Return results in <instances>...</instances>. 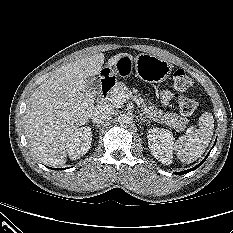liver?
I'll list each match as a JSON object with an SVG mask.
<instances>
[{
	"instance_id": "6515ba94",
	"label": "liver",
	"mask_w": 233,
	"mask_h": 233,
	"mask_svg": "<svg viewBox=\"0 0 233 233\" xmlns=\"http://www.w3.org/2000/svg\"><path fill=\"white\" fill-rule=\"evenodd\" d=\"M126 53L108 60L115 65ZM104 54L98 53L64 64L55 70L31 95L24 115V127L31 151L44 164L66 162V142L94 111V96L86 78L99 75Z\"/></svg>"
}]
</instances>
